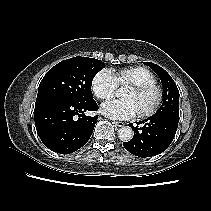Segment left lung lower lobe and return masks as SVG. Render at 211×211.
<instances>
[{"label": "left lung lower lobe", "mask_w": 211, "mask_h": 211, "mask_svg": "<svg viewBox=\"0 0 211 211\" xmlns=\"http://www.w3.org/2000/svg\"><path fill=\"white\" fill-rule=\"evenodd\" d=\"M143 127L129 126L134 130V137L124 142V147L138 157H152L165 151L175 137L178 122L162 116H151L137 124Z\"/></svg>", "instance_id": "1"}]
</instances>
